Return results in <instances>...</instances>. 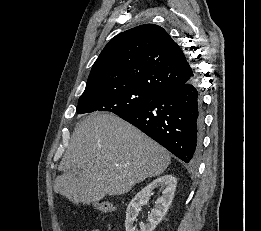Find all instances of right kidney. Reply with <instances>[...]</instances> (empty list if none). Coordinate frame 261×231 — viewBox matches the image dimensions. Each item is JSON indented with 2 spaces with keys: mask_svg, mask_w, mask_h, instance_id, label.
Here are the masks:
<instances>
[{
  "mask_svg": "<svg viewBox=\"0 0 261 231\" xmlns=\"http://www.w3.org/2000/svg\"><path fill=\"white\" fill-rule=\"evenodd\" d=\"M177 185V179L173 175H164L148 184L131 200L126 211L125 228L126 231H138L134 226L136 218L140 211V206L147 204L153 190L161 187L162 196L155 202V208L147 218V223L140 224V231H153L166 215L169 206L174 198V192Z\"/></svg>",
  "mask_w": 261,
  "mask_h": 231,
  "instance_id": "obj_1",
  "label": "right kidney"
}]
</instances>
